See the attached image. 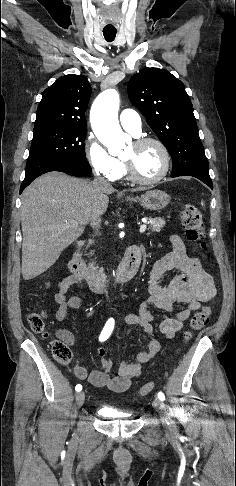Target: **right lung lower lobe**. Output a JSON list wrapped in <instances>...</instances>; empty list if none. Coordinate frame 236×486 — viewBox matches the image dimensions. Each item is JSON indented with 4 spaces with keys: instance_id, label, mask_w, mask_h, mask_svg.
Segmentation results:
<instances>
[{
    "instance_id": "right-lung-lower-lobe-1",
    "label": "right lung lower lobe",
    "mask_w": 236,
    "mask_h": 486,
    "mask_svg": "<svg viewBox=\"0 0 236 486\" xmlns=\"http://www.w3.org/2000/svg\"><path fill=\"white\" fill-rule=\"evenodd\" d=\"M60 171L76 177H84L91 173L88 163L76 161H61L55 159H37L27 162L26 174L20 187V193L38 176L50 172Z\"/></svg>"
}]
</instances>
